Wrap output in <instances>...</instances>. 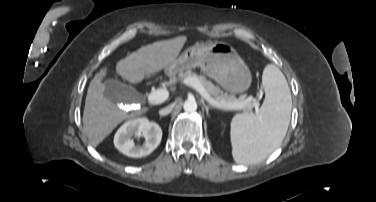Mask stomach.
Returning <instances> with one entry per match:
<instances>
[{"label":"stomach","mask_w":376,"mask_h":202,"mask_svg":"<svg viewBox=\"0 0 376 202\" xmlns=\"http://www.w3.org/2000/svg\"><path fill=\"white\" fill-rule=\"evenodd\" d=\"M200 67L226 91L241 93L250 84L248 66L236 50L224 41L206 42L187 48L165 68L166 74L176 78L184 70Z\"/></svg>","instance_id":"stomach-1"}]
</instances>
